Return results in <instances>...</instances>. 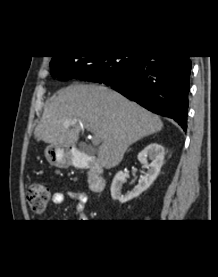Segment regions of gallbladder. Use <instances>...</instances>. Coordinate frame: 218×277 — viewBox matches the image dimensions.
<instances>
[{"label": "gallbladder", "instance_id": "gallbladder-1", "mask_svg": "<svg viewBox=\"0 0 218 277\" xmlns=\"http://www.w3.org/2000/svg\"><path fill=\"white\" fill-rule=\"evenodd\" d=\"M78 148L82 153L93 154V151H91L89 147L83 142L78 145Z\"/></svg>", "mask_w": 218, "mask_h": 277}]
</instances>
